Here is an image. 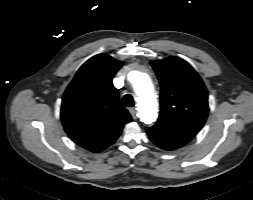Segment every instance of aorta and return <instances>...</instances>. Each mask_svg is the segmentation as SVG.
I'll return each instance as SVG.
<instances>
[{
  "label": "aorta",
  "instance_id": "1",
  "mask_svg": "<svg viewBox=\"0 0 253 200\" xmlns=\"http://www.w3.org/2000/svg\"><path fill=\"white\" fill-rule=\"evenodd\" d=\"M132 84L137 96L140 120L145 124L155 122L158 116V101L149 75L145 72L136 71Z\"/></svg>",
  "mask_w": 253,
  "mask_h": 200
}]
</instances>
